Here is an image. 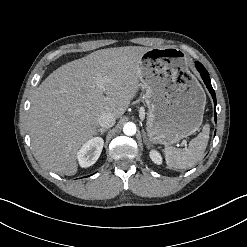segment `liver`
Here are the masks:
<instances>
[{"label": "liver", "mask_w": 247, "mask_h": 247, "mask_svg": "<svg viewBox=\"0 0 247 247\" xmlns=\"http://www.w3.org/2000/svg\"><path fill=\"white\" fill-rule=\"evenodd\" d=\"M150 48L97 50L60 66L37 88L29 114L30 136L46 168L77 173V153L94 135L105 112L120 118L136 96L140 60Z\"/></svg>", "instance_id": "1"}]
</instances>
